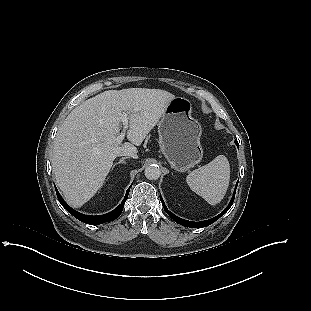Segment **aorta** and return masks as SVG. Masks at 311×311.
<instances>
[{"mask_svg": "<svg viewBox=\"0 0 311 311\" xmlns=\"http://www.w3.org/2000/svg\"><path fill=\"white\" fill-rule=\"evenodd\" d=\"M145 177L149 180H157L161 175V169L158 165H149L145 168Z\"/></svg>", "mask_w": 311, "mask_h": 311, "instance_id": "obj_1", "label": "aorta"}]
</instances>
